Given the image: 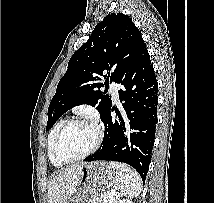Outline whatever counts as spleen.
Instances as JSON below:
<instances>
[{"instance_id": "1", "label": "spleen", "mask_w": 214, "mask_h": 203, "mask_svg": "<svg viewBox=\"0 0 214 203\" xmlns=\"http://www.w3.org/2000/svg\"><path fill=\"white\" fill-rule=\"evenodd\" d=\"M116 172L115 183L119 189L118 196L137 197L142 189V181L139 174L128 165L110 162Z\"/></svg>"}]
</instances>
